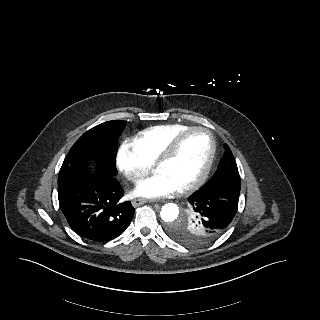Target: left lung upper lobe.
I'll use <instances>...</instances> for the list:
<instances>
[{
	"mask_svg": "<svg viewBox=\"0 0 320 320\" xmlns=\"http://www.w3.org/2000/svg\"><path fill=\"white\" fill-rule=\"evenodd\" d=\"M224 155L212 179L203 187L212 190H225L239 195L241 181L234 156L227 144H224ZM169 235L177 242L187 246H198L212 241L207 237L206 228L201 216L189 206L180 222L168 226Z\"/></svg>",
	"mask_w": 320,
	"mask_h": 320,
	"instance_id": "5c2ea615",
	"label": "left lung upper lobe"
}]
</instances>
